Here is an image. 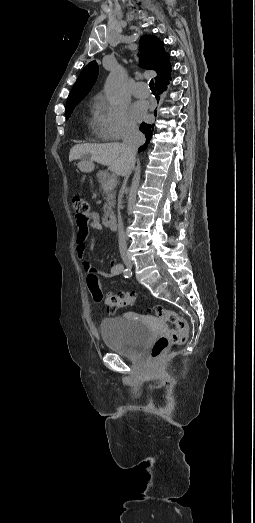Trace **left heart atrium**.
<instances>
[{
  "instance_id": "obj_1",
  "label": "left heart atrium",
  "mask_w": 255,
  "mask_h": 523,
  "mask_svg": "<svg viewBox=\"0 0 255 523\" xmlns=\"http://www.w3.org/2000/svg\"><path fill=\"white\" fill-rule=\"evenodd\" d=\"M147 106L145 102L138 101L132 107V113L138 120L142 119L146 115Z\"/></svg>"
}]
</instances>
